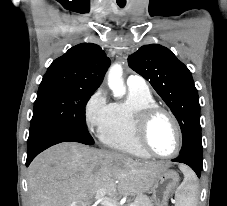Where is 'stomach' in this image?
<instances>
[{"instance_id":"0dacf381","label":"stomach","mask_w":227,"mask_h":206,"mask_svg":"<svg viewBox=\"0 0 227 206\" xmlns=\"http://www.w3.org/2000/svg\"><path fill=\"white\" fill-rule=\"evenodd\" d=\"M178 183L179 175L176 171L167 169L161 173L151 187L155 206H167L169 196Z\"/></svg>"}]
</instances>
